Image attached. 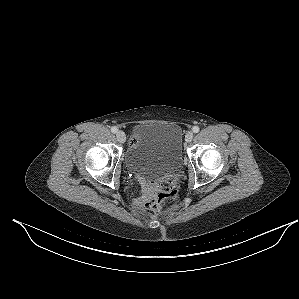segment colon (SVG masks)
Returning a JSON list of instances; mask_svg holds the SVG:
<instances>
[{"label":"colon","mask_w":299,"mask_h":299,"mask_svg":"<svg viewBox=\"0 0 299 299\" xmlns=\"http://www.w3.org/2000/svg\"><path fill=\"white\" fill-rule=\"evenodd\" d=\"M177 193V182L173 177H168L151 186L149 198L146 203L150 214L160 211L162 205L171 200Z\"/></svg>","instance_id":"colon-1"}]
</instances>
